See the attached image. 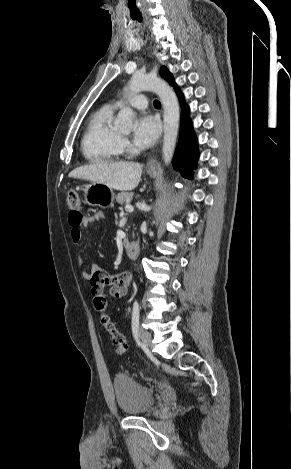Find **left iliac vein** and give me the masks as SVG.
Masks as SVG:
<instances>
[{"mask_svg": "<svg viewBox=\"0 0 291 469\" xmlns=\"http://www.w3.org/2000/svg\"><path fill=\"white\" fill-rule=\"evenodd\" d=\"M139 336L144 343V345L149 348L151 345V335L148 331L144 330L143 328L139 329Z\"/></svg>", "mask_w": 291, "mask_h": 469, "instance_id": "obj_1", "label": "left iliac vein"}]
</instances>
